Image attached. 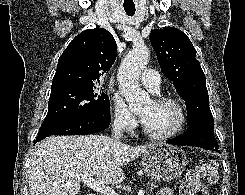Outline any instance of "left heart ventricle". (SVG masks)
<instances>
[{"mask_svg":"<svg viewBox=\"0 0 245 195\" xmlns=\"http://www.w3.org/2000/svg\"><path fill=\"white\" fill-rule=\"evenodd\" d=\"M146 116L145 126L154 133H166L173 130L179 122L178 110L168 104L147 103L140 111Z\"/></svg>","mask_w":245,"mask_h":195,"instance_id":"1","label":"left heart ventricle"}]
</instances>
